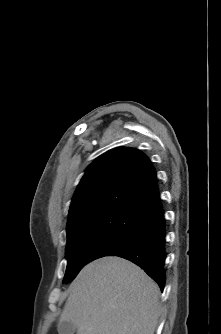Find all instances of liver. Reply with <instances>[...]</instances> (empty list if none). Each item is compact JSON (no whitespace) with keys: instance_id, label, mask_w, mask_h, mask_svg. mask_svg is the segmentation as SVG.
Segmentation results:
<instances>
[{"instance_id":"6515ba94","label":"liver","mask_w":221,"mask_h":334,"mask_svg":"<svg viewBox=\"0 0 221 334\" xmlns=\"http://www.w3.org/2000/svg\"><path fill=\"white\" fill-rule=\"evenodd\" d=\"M59 318L77 334H154L160 316L157 284L120 257L87 264L70 285Z\"/></svg>"}]
</instances>
